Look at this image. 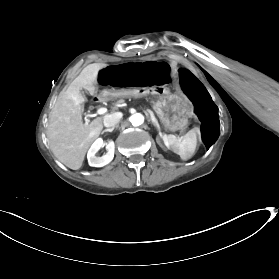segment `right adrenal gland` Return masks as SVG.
<instances>
[{"label": "right adrenal gland", "mask_w": 279, "mask_h": 279, "mask_svg": "<svg viewBox=\"0 0 279 279\" xmlns=\"http://www.w3.org/2000/svg\"><path fill=\"white\" fill-rule=\"evenodd\" d=\"M114 130V128H111V129H105V130H103L102 131V134H104L105 132H111V131H113Z\"/></svg>", "instance_id": "2a0ac1e0"}]
</instances>
